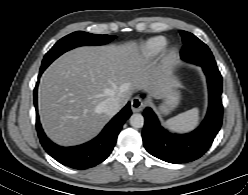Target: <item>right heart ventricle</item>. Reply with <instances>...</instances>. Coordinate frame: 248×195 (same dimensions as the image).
<instances>
[{
	"label": "right heart ventricle",
	"mask_w": 248,
	"mask_h": 195,
	"mask_svg": "<svg viewBox=\"0 0 248 195\" xmlns=\"http://www.w3.org/2000/svg\"><path fill=\"white\" fill-rule=\"evenodd\" d=\"M167 43L168 40L164 36L153 37L144 43L141 53L147 58L154 57L165 49Z\"/></svg>",
	"instance_id": "1"
}]
</instances>
